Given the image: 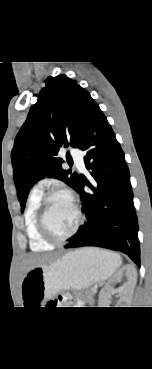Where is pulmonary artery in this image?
I'll list each match as a JSON object with an SVG mask.
<instances>
[{
	"label": "pulmonary artery",
	"mask_w": 152,
	"mask_h": 369,
	"mask_svg": "<svg viewBox=\"0 0 152 369\" xmlns=\"http://www.w3.org/2000/svg\"><path fill=\"white\" fill-rule=\"evenodd\" d=\"M71 155L74 159V162H75L76 166L79 169L84 170L85 169V164H84V159H83V156H82L81 152L78 151V150L73 149V150H71ZM33 189H39V186L35 185L33 187Z\"/></svg>",
	"instance_id": "e3ab8cb5"
}]
</instances>
